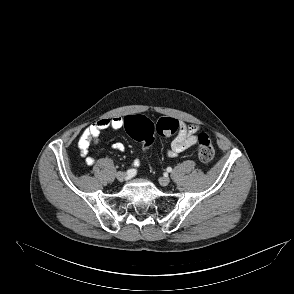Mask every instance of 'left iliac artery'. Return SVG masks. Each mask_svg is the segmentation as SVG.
<instances>
[{"label":"left iliac artery","instance_id":"obj_1","mask_svg":"<svg viewBox=\"0 0 294 294\" xmlns=\"http://www.w3.org/2000/svg\"><path fill=\"white\" fill-rule=\"evenodd\" d=\"M167 171H168V172H171V171H172V168H171V167H168V168H167Z\"/></svg>","mask_w":294,"mask_h":294}]
</instances>
